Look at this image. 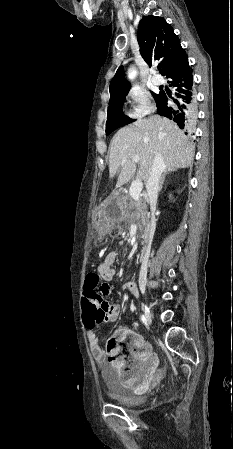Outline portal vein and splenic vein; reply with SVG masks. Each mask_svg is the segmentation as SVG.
<instances>
[{"mask_svg":"<svg viewBox=\"0 0 233 449\" xmlns=\"http://www.w3.org/2000/svg\"><path fill=\"white\" fill-rule=\"evenodd\" d=\"M132 160L135 163H138L140 161V158L137 155H133ZM123 162H125V161H123ZM142 189H143L142 181L140 179H136L135 181L132 182V184L130 186L129 194L134 200H138L141 196Z\"/></svg>","mask_w":233,"mask_h":449,"instance_id":"obj_1","label":"portal vein and splenic vein"}]
</instances>
